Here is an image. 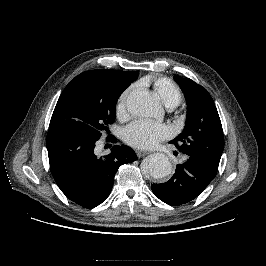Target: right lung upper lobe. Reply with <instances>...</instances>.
I'll list each match as a JSON object with an SVG mask.
<instances>
[{"label": "right lung upper lobe", "instance_id": "cb5924a9", "mask_svg": "<svg viewBox=\"0 0 266 266\" xmlns=\"http://www.w3.org/2000/svg\"><path fill=\"white\" fill-rule=\"evenodd\" d=\"M87 72H110V73H114L124 79L127 80H131L134 79L137 75V72H125V71H119V70H111V69H98V70H91V71H87ZM86 73V72H84Z\"/></svg>", "mask_w": 266, "mask_h": 266}]
</instances>
